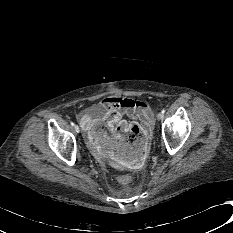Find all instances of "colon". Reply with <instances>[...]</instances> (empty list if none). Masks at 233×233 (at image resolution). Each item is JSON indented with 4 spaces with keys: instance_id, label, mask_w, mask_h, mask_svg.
<instances>
[{
    "instance_id": "1",
    "label": "colon",
    "mask_w": 233,
    "mask_h": 233,
    "mask_svg": "<svg viewBox=\"0 0 233 233\" xmlns=\"http://www.w3.org/2000/svg\"><path fill=\"white\" fill-rule=\"evenodd\" d=\"M133 126H137L136 124H133ZM118 181L123 184V185H126V184H129L131 182V177L129 175H121L119 178H118Z\"/></svg>"
}]
</instances>
